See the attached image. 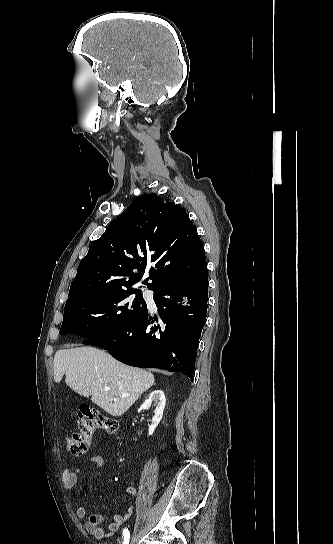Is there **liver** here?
Masks as SVG:
<instances>
[{"label": "liver", "instance_id": "1", "mask_svg": "<svg viewBox=\"0 0 333 544\" xmlns=\"http://www.w3.org/2000/svg\"><path fill=\"white\" fill-rule=\"evenodd\" d=\"M66 375V384L112 416L124 414L155 382L146 370L122 364L94 347L58 350L54 356V381ZM109 386L110 391L104 387ZM128 394L127 397H122Z\"/></svg>", "mask_w": 333, "mask_h": 544}]
</instances>
